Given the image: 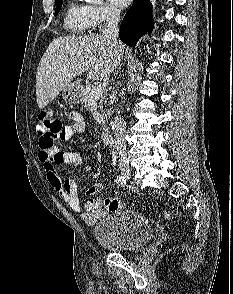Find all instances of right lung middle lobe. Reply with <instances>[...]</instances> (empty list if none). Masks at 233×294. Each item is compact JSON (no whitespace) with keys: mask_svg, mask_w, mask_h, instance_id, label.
Segmentation results:
<instances>
[{"mask_svg":"<svg viewBox=\"0 0 233 294\" xmlns=\"http://www.w3.org/2000/svg\"><path fill=\"white\" fill-rule=\"evenodd\" d=\"M62 1L63 0H55V5H56L55 16L59 13V11L61 9Z\"/></svg>","mask_w":233,"mask_h":294,"instance_id":"dd1d6c3e","label":"right lung middle lobe"}]
</instances>
